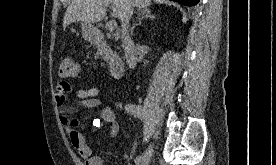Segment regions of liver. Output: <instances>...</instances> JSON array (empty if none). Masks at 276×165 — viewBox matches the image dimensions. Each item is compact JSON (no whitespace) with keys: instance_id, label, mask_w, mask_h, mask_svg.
<instances>
[{"instance_id":"1","label":"liver","mask_w":276,"mask_h":165,"mask_svg":"<svg viewBox=\"0 0 276 165\" xmlns=\"http://www.w3.org/2000/svg\"><path fill=\"white\" fill-rule=\"evenodd\" d=\"M131 1L132 6L138 9L151 5V0ZM109 5L112 7V16L121 19L124 12V0H73L66 10L63 29L73 22L85 24L100 22L104 19Z\"/></svg>"}]
</instances>
